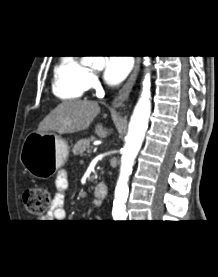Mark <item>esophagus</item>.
Segmentation results:
<instances>
[{"label":"esophagus","mask_w":218,"mask_h":277,"mask_svg":"<svg viewBox=\"0 0 218 277\" xmlns=\"http://www.w3.org/2000/svg\"><path fill=\"white\" fill-rule=\"evenodd\" d=\"M140 57H136L135 66L134 69L129 76L127 82L123 85V87L120 89L117 96L114 98L112 105L115 108L120 107L128 98L138 75L139 69H140Z\"/></svg>","instance_id":"esophagus-1"}]
</instances>
